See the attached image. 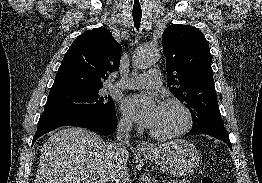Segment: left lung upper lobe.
I'll use <instances>...</instances> for the list:
<instances>
[{
  "label": "left lung upper lobe",
  "mask_w": 262,
  "mask_h": 183,
  "mask_svg": "<svg viewBox=\"0 0 262 183\" xmlns=\"http://www.w3.org/2000/svg\"><path fill=\"white\" fill-rule=\"evenodd\" d=\"M162 45L167 85L190 110L191 130L224 127L214 87L212 55L202 32L192 26L172 24L163 32Z\"/></svg>",
  "instance_id": "obj_1"
}]
</instances>
